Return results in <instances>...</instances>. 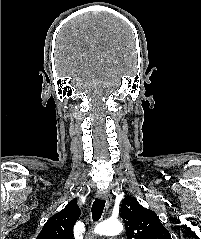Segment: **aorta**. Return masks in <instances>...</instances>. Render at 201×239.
I'll list each match as a JSON object with an SVG mask.
<instances>
[{"label":"aorta","mask_w":201,"mask_h":239,"mask_svg":"<svg viewBox=\"0 0 201 239\" xmlns=\"http://www.w3.org/2000/svg\"><path fill=\"white\" fill-rule=\"evenodd\" d=\"M123 230V225L118 220H106L98 224L94 233L102 236H114L121 233Z\"/></svg>","instance_id":"762f6f07"}]
</instances>
